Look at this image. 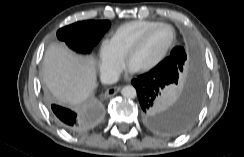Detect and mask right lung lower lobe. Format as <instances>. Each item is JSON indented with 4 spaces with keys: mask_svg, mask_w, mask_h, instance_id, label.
<instances>
[{
    "mask_svg": "<svg viewBox=\"0 0 244 157\" xmlns=\"http://www.w3.org/2000/svg\"><path fill=\"white\" fill-rule=\"evenodd\" d=\"M51 109L57 121L66 130L74 133H81L88 128L86 118L82 114L76 113L55 104L51 105Z\"/></svg>",
    "mask_w": 244,
    "mask_h": 157,
    "instance_id": "1",
    "label": "right lung lower lobe"
}]
</instances>
